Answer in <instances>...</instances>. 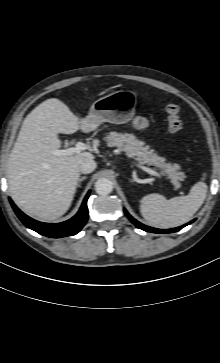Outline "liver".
<instances>
[{"instance_id":"obj_1","label":"liver","mask_w":220,"mask_h":363,"mask_svg":"<svg viewBox=\"0 0 220 363\" xmlns=\"http://www.w3.org/2000/svg\"><path fill=\"white\" fill-rule=\"evenodd\" d=\"M88 129L62 101L51 98L24 119L8 162V184L15 204L43 221L66 213L79 181V165L93 160L91 152L53 154L61 147L58 134Z\"/></svg>"}]
</instances>
